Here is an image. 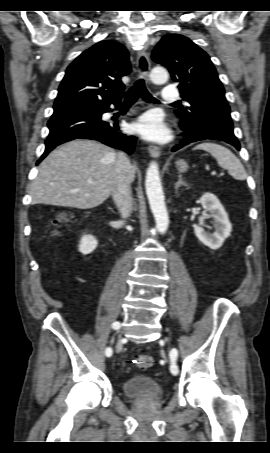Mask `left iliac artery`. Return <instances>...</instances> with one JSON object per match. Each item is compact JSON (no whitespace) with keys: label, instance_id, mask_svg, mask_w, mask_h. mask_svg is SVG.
<instances>
[{"label":"left iliac artery","instance_id":"44dca946","mask_svg":"<svg viewBox=\"0 0 270 453\" xmlns=\"http://www.w3.org/2000/svg\"><path fill=\"white\" fill-rule=\"evenodd\" d=\"M177 356H178L177 350L176 349H172L171 352H170V360H171L170 370H171V373L173 375H177L178 374V366L176 365Z\"/></svg>","mask_w":270,"mask_h":453}]
</instances>
